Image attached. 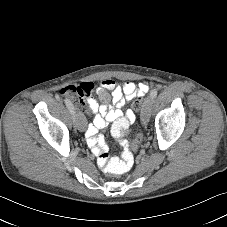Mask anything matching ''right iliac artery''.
<instances>
[{
	"mask_svg": "<svg viewBox=\"0 0 227 227\" xmlns=\"http://www.w3.org/2000/svg\"><path fill=\"white\" fill-rule=\"evenodd\" d=\"M65 101V104H66V106L68 107V109L70 110V112L72 113V115H74V106H73V104L71 103V101L70 100H68V99H65L64 100Z\"/></svg>",
	"mask_w": 227,
	"mask_h": 227,
	"instance_id": "right-iliac-artery-1",
	"label": "right iliac artery"
}]
</instances>
